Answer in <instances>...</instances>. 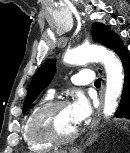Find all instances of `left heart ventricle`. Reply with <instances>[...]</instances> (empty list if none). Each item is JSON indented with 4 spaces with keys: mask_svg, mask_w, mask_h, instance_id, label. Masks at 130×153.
<instances>
[{
    "mask_svg": "<svg viewBox=\"0 0 130 153\" xmlns=\"http://www.w3.org/2000/svg\"><path fill=\"white\" fill-rule=\"evenodd\" d=\"M51 122L60 135H67L77 127L73 121L69 105L57 110L52 116Z\"/></svg>",
    "mask_w": 130,
    "mask_h": 153,
    "instance_id": "1",
    "label": "left heart ventricle"
}]
</instances>
